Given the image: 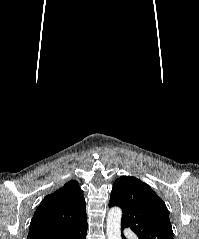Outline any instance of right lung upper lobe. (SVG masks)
<instances>
[{"label":"right lung upper lobe","mask_w":199,"mask_h":239,"mask_svg":"<svg viewBox=\"0 0 199 239\" xmlns=\"http://www.w3.org/2000/svg\"><path fill=\"white\" fill-rule=\"evenodd\" d=\"M86 222L85 199L78 182L72 180L42 200L27 239L60 235Z\"/></svg>","instance_id":"obj_1"}]
</instances>
